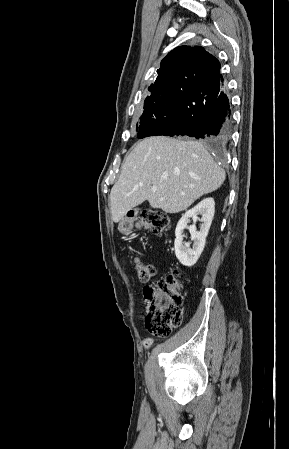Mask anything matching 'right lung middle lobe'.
I'll return each mask as SVG.
<instances>
[{
  "instance_id": "obj_1",
  "label": "right lung middle lobe",
  "mask_w": 289,
  "mask_h": 449,
  "mask_svg": "<svg viewBox=\"0 0 289 449\" xmlns=\"http://www.w3.org/2000/svg\"><path fill=\"white\" fill-rule=\"evenodd\" d=\"M143 109L140 126L136 128L140 139L153 135L160 125L174 120L177 115L173 95L169 92L148 96Z\"/></svg>"
}]
</instances>
